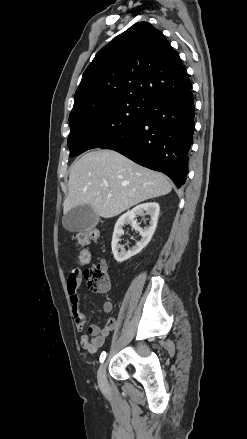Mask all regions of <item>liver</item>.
Returning a JSON list of instances; mask_svg holds the SVG:
<instances>
[{"label":"liver","mask_w":247,"mask_h":439,"mask_svg":"<svg viewBox=\"0 0 247 439\" xmlns=\"http://www.w3.org/2000/svg\"><path fill=\"white\" fill-rule=\"evenodd\" d=\"M171 190V182L164 174L138 165L116 151L96 150L72 166L63 211L66 214L87 204L98 216L111 218Z\"/></svg>","instance_id":"6515ba94"}]
</instances>
